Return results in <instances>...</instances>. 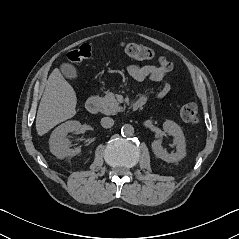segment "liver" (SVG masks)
I'll return each instance as SVG.
<instances>
[{"instance_id": "obj_1", "label": "liver", "mask_w": 239, "mask_h": 239, "mask_svg": "<svg viewBox=\"0 0 239 239\" xmlns=\"http://www.w3.org/2000/svg\"><path fill=\"white\" fill-rule=\"evenodd\" d=\"M77 97L73 87L64 79L58 69L50 74L41 98L36 130L42 136L57 124L72 118L76 114Z\"/></svg>"}]
</instances>
